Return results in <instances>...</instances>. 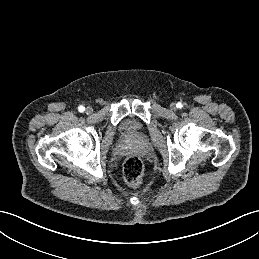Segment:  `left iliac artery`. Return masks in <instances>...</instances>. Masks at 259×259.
<instances>
[{"mask_svg":"<svg viewBox=\"0 0 259 259\" xmlns=\"http://www.w3.org/2000/svg\"><path fill=\"white\" fill-rule=\"evenodd\" d=\"M176 107H178V108H182V107H183V105H182V103L178 102V104L176 105Z\"/></svg>","mask_w":259,"mask_h":259,"instance_id":"44dca946","label":"left iliac artery"}]
</instances>
